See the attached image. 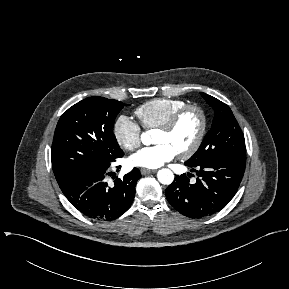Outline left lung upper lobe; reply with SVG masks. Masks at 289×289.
Returning a JSON list of instances; mask_svg holds the SVG:
<instances>
[{
	"mask_svg": "<svg viewBox=\"0 0 289 289\" xmlns=\"http://www.w3.org/2000/svg\"><path fill=\"white\" fill-rule=\"evenodd\" d=\"M200 95L214 109L215 116L199 149L186 163L197 166L220 157L245 158L244 135L229 106L208 94Z\"/></svg>",
	"mask_w": 289,
	"mask_h": 289,
	"instance_id": "1",
	"label": "left lung upper lobe"
}]
</instances>
